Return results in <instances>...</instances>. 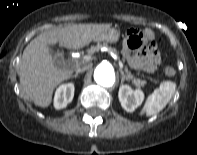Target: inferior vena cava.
<instances>
[{
  "label": "inferior vena cava",
  "instance_id": "inferior-vena-cava-1",
  "mask_svg": "<svg viewBox=\"0 0 197 155\" xmlns=\"http://www.w3.org/2000/svg\"><path fill=\"white\" fill-rule=\"evenodd\" d=\"M88 68H89L88 66H84V67H82V68H77V69H76V73L84 72V71H86Z\"/></svg>",
  "mask_w": 197,
  "mask_h": 155
}]
</instances>
